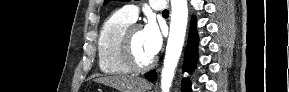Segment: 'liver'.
I'll list each match as a JSON object with an SVG mask.
<instances>
[{
  "instance_id": "obj_1",
  "label": "liver",
  "mask_w": 289,
  "mask_h": 92,
  "mask_svg": "<svg viewBox=\"0 0 289 92\" xmlns=\"http://www.w3.org/2000/svg\"><path fill=\"white\" fill-rule=\"evenodd\" d=\"M94 82L113 87L120 92H145L151 88L149 83L138 77L109 76L94 79Z\"/></svg>"
}]
</instances>
